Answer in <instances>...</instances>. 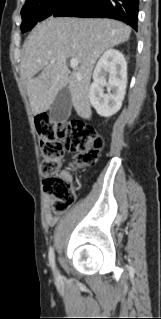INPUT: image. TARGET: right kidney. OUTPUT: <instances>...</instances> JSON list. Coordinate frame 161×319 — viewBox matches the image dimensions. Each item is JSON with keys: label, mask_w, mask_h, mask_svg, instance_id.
<instances>
[{"label": "right kidney", "mask_w": 161, "mask_h": 319, "mask_svg": "<svg viewBox=\"0 0 161 319\" xmlns=\"http://www.w3.org/2000/svg\"><path fill=\"white\" fill-rule=\"evenodd\" d=\"M126 86L127 63L124 55L118 50L108 49L100 57L93 72V83L89 89L91 105L100 116L114 115L122 106ZM104 87L108 88L107 94L104 93Z\"/></svg>", "instance_id": "1"}]
</instances>
